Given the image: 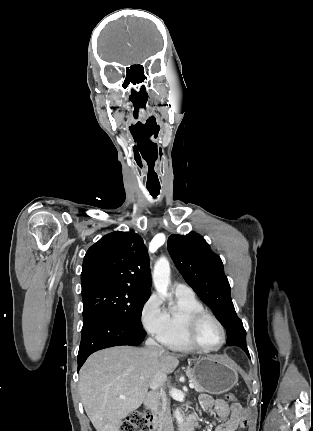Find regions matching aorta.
<instances>
[{
  "label": "aorta",
  "mask_w": 313,
  "mask_h": 431,
  "mask_svg": "<svg viewBox=\"0 0 313 431\" xmlns=\"http://www.w3.org/2000/svg\"><path fill=\"white\" fill-rule=\"evenodd\" d=\"M153 283L156 291L161 296H166L167 289L170 284V263L165 257H161L154 265ZM175 418L180 431L183 430V417L179 409L175 410Z\"/></svg>",
  "instance_id": "762f6f07"
}]
</instances>
